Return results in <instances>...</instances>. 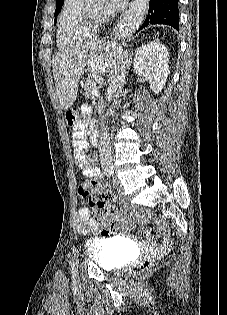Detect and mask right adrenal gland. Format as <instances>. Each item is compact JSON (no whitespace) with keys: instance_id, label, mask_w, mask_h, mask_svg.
Returning <instances> with one entry per match:
<instances>
[{"instance_id":"obj_1","label":"right adrenal gland","mask_w":227,"mask_h":315,"mask_svg":"<svg viewBox=\"0 0 227 315\" xmlns=\"http://www.w3.org/2000/svg\"><path fill=\"white\" fill-rule=\"evenodd\" d=\"M130 56H132V55H130ZM125 60H126V66H127V67H130L132 58L129 57V55H128L127 52H126Z\"/></svg>"}]
</instances>
